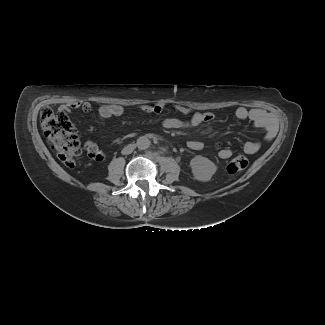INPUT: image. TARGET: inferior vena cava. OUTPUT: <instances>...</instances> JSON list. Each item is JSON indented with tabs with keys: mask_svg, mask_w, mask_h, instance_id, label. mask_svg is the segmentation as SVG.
<instances>
[{
	"mask_svg": "<svg viewBox=\"0 0 325 325\" xmlns=\"http://www.w3.org/2000/svg\"><path fill=\"white\" fill-rule=\"evenodd\" d=\"M134 149H135V145H134V144H129V145L125 146V147L122 149L121 153H122L123 155H128V154H131V153L133 152Z\"/></svg>",
	"mask_w": 325,
	"mask_h": 325,
	"instance_id": "1",
	"label": "inferior vena cava"
}]
</instances>
